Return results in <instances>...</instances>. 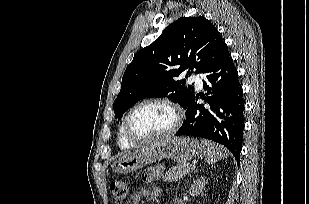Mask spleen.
I'll list each match as a JSON object with an SVG mask.
<instances>
[{
  "instance_id": "1",
  "label": "spleen",
  "mask_w": 309,
  "mask_h": 204,
  "mask_svg": "<svg viewBox=\"0 0 309 204\" xmlns=\"http://www.w3.org/2000/svg\"><path fill=\"white\" fill-rule=\"evenodd\" d=\"M201 143L203 145L204 158L207 163H215L229 157L228 151L223 146L206 139H202Z\"/></svg>"
}]
</instances>
